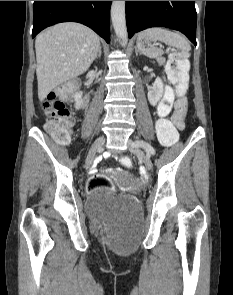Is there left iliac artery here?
Returning a JSON list of instances; mask_svg holds the SVG:
<instances>
[{"instance_id":"left-iliac-artery-1","label":"left iliac artery","mask_w":233,"mask_h":295,"mask_svg":"<svg viewBox=\"0 0 233 295\" xmlns=\"http://www.w3.org/2000/svg\"><path fill=\"white\" fill-rule=\"evenodd\" d=\"M136 145H140L141 147H145L144 149L150 153L153 157L156 155V151L146 140H136L134 142Z\"/></svg>"}]
</instances>
